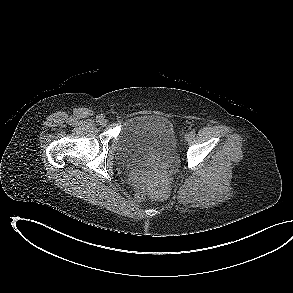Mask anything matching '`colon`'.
<instances>
[{
    "label": "colon",
    "mask_w": 293,
    "mask_h": 293,
    "mask_svg": "<svg viewBox=\"0 0 293 293\" xmlns=\"http://www.w3.org/2000/svg\"><path fill=\"white\" fill-rule=\"evenodd\" d=\"M150 190V185L146 179L138 178L134 181V191L137 199H144Z\"/></svg>",
    "instance_id": "obj_1"
}]
</instances>
